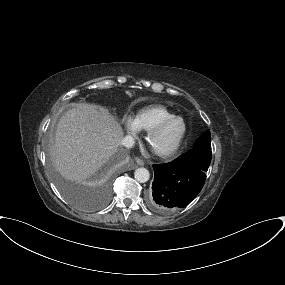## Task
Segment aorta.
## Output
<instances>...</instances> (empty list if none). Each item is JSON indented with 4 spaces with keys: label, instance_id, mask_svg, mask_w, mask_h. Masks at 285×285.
I'll return each instance as SVG.
<instances>
[{
    "label": "aorta",
    "instance_id": "aorta-1",
    "mask_svg": "<svg viewBox=\"0 0 285 285\" xmlns=\"http://www.w3.org/2000/svg\"><path fill=\"white\" fill-rule=\"evenodd\" d=\"M134 177L139 183H145L150 178V173L146 168H138L134 172Z\"/></svg>",
    "mask_w": 285,
    "mask_h": 285
}]
</instances>
